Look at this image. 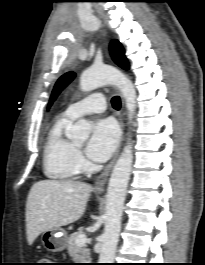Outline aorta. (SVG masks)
Returning <instances> with one entry per match:
<instances>
[{"instance_id":"1","label":"aorta","mask_w":205,"mask_h":265,"mask_svg":"<svg viewBox=\"0 0 205 265\" xmlns=\"http://www.w3.org/2000/svg\"><path fill=\"white\" fill-rule=\"evenodd\" d=\"M115 85L121 91L128 119H133L136 109V91L132 81L122 72L112 66L91 67L85 70L80 77V88L84 92L92 91L103 85ZM90 133V124L84 120H78L68 133L73 140H87ZM133 163V151L131 140L128 139L119 156L109 179L107 189V203L105 211V228L102 234V247L99 263H113L121 230V219L125 201L127 185Z\"/></svg>"}]
</instances>
